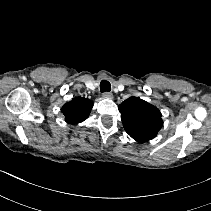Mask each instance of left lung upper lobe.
<instances>
[{"mask_svg":"<svg viewBox=\"0 0 211 211\" xmlns=\"http://www.w3.org/2000/svg\"><path fill=\"white\" fill-rule=\"evenodd\" d=\"M118 109L125 131L138 142L153 139L163 125L160 110L138 97L128 98Z\"/></svg>","mask_w":211,"mask_h":211,"instance_id":"left-lung-upper-lobe-1","label":"left lung upper lobe"}]
</instances>
